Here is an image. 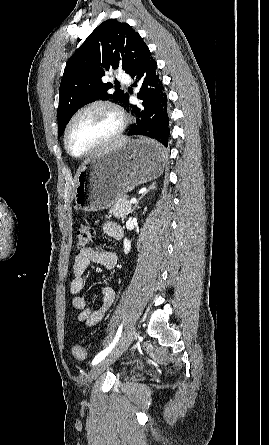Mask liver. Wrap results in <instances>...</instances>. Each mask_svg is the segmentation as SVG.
Masks as SVG:
<instances>
[{
    "mask_svg": "<svg viewBox=\"0 0 269 445\" xmlns=\"http://www.w3.org/2000/svg\"><path fill=\"white\" fill-rule=\"evenodd\" d=\"M128 140H129V139H128L127 137H122V138H120L119 140H117V141L115 142V144H114L112 147H110V148H113V147L122 145V144H124L125 142H127Z\"/></svg>",
    "mask_w": 269,
    "mask_h": 445,
    "instance_id": "1",
    "label": "liver"
}]
</instances>
